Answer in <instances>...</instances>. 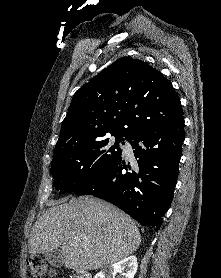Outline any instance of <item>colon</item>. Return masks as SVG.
<instances>
[{"label": "colon", "instance_id": "5ec220e1", "mask_svg": "<svg viewBox=\"0 0 221 278\" xmlns=\"http://www.w3.org/2000/svg\"><path fill=\"white\" fill-rule=\"evenodd\" d=\"M27 268L35 278H64L57 277L55 270L39 257L28 258Z\"/></svg>", "mask_w": 221, "mask_h": 278}]
</instances>
